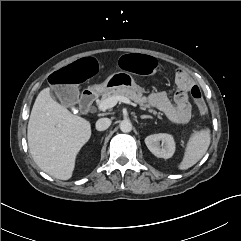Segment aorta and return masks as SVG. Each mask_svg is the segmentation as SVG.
<instances>
[{
    "label": "aorta",
    "instance_id": "obj_1",
    "mask_svg": "<svg viewBox=\"0 0 241 241\" xmlns=\"http://www.w3.org/2000/svg\"><path fill=\"white\" fill-rule=\"evenodd\" d=\"M120 130L124 133H129L132 130V123L130 120H122L120 122Z\"/></svg>",
    "mask_w": 241,
    "mask_h": 241
}]
</instances>
